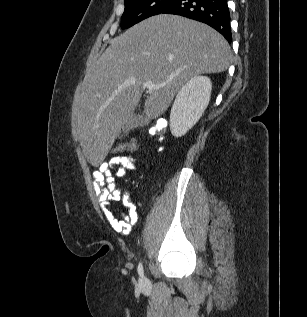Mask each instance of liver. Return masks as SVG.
<instances>
[{"label":"liver","instance_id":"6515ba94","mask_svg":"<svg viewBox=\"0 0 307 317\" xmlns=\"http://www.w3.org/2000/svg\"><path fill=\"white\" fill-rule=\"evenodd\" d=\"M231 58L220 33L177 15L150 17L112 39L87 71L72 105L79 142L90 163L97 167L103 162L146 81L164 84L149 90L144 103L146 117L155 119L183 84L200 74L226 71Z\"/></svg>","mask_w":307,"mask_h":317}]
</instances>
